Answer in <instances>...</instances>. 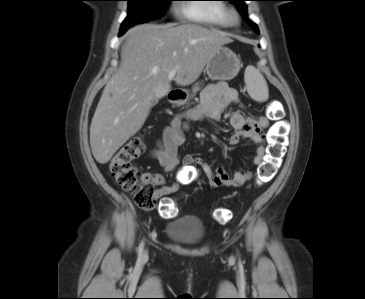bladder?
<instances>
[{
    "instance_id": "31cf9c89",
    "label": "bladder",
    "mask_w": 365,
    "mask_h": 299,
    "mask_svg": "<svg viewBox=\"0 0 365 299\" xmlns=\"http://www.w3.org/2000/svg\"><path fill=\"white\" fill-rule=\"evenodd\" d=\"M165 232L171 242L192 245L203 239L206 229L198 217L188 215L169 222Z\"/></svg>"
}]
</instances>
